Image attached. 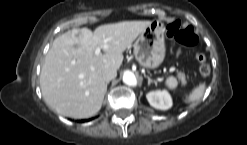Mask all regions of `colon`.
<instances>
[{"instance_id":"obj_1","label":"colon","mask_w":247,"mask_h":145,"mask_svg":"<svg viewBox=\"0 0 247 145\" xmlns=\"http://www.w3.org/2000/svg\"><path fill=\"white\" fill-rule=\"evenodd\" d=\"M166 36L181 45L193 47L197 44L198 38L192 27H183L179 20L170 23L166 28ZM196 59L200 63L199 72L203 77L210 74V66L206 62V56L198 52Z\"/></svg>"}]
</instances>
